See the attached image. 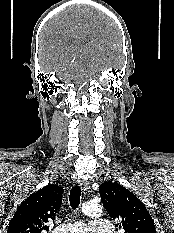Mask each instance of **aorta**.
<instances>
[{
  "instance_id": "aorta-1",
  "label": "aorta",
  "mask_w": 174,
  "mask_h": 233,
  "mask_svg": "<svg viewBox=\"0 0 174 233\" xmlns=\"http://www.w3.org/2000/svg\"><path fill=\"white\" fill-rule=\"evenodd\" d=\"M82 212L90 217H99L102 214V207L99 204L86 203L82 206Z\"/></svg>"
}]
</instances>
